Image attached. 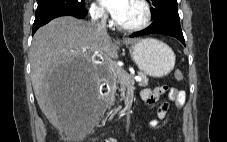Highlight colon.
I'll return each instance as SVG.
<instances>
[{
  "mask_svg": "<svg viewBox=\"0 0 227 142\" xmlns=\"http://www.w3.org/2000/svg\"><path fill=\"white\" fill-rule=\"evenodd\" d=\"M175 78L177 80H181L183 78L182 72L181 71H176L175 72Z\"/></svg>",
  "mask_w": 227,
  "mask_h": 142,
  "instance_id": "obj_1",
  "label": "colon"
}]
</instances>
